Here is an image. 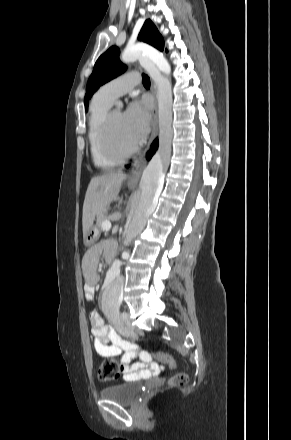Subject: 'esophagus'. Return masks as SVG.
Returning a JSON list of instances; mask_svg holds the SVG:
<instances>
[{"label":"esophagus","mask_w":291,"mask_h":440,"mask_svg":"<svg viewBox=\"0 0 291 440\" xmlns=\"http://www.w3.org/2000/svg\"><path fill=\"white\" fill-rule=\"evenodd\" d=\"M152 94L154 97V109H153V121H152V132H151V136L149 139V144L145 150V152L138 158L136 159L135 163H134V167L132 169V171L129 174V182L132 185H137L141 172L143 170V167L146 164V153L147 151L150 149V145L153 141V139L155 138L156 134H157V126H158V118H157V113H158V108H157V103H156V98H155V92L154 89L152 88Z\"/></svg>","instance_id":"1"}]
</instances>
